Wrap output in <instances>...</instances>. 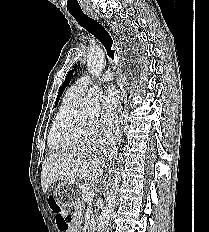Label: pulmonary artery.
<instances>
[{"label":"pulmonary artery","instance_id":"pulmonary-artery-1","mask_svg":"<svg viewBox=\"0 0 209 232\" xmlns=\"http://www.w3.org/2000/svg\"><path fill=\"white\" fill-rule=\"evenodd\" d=\"M113 78V75L110 71H106L100 78V82H109ZM92 84V78L89 75H84L80 77L74 85L71 86L72 91H74L77 94L84 95L90 85Z\"/></svg>","mask_w":209,"mask_h":232}]
</instances>
